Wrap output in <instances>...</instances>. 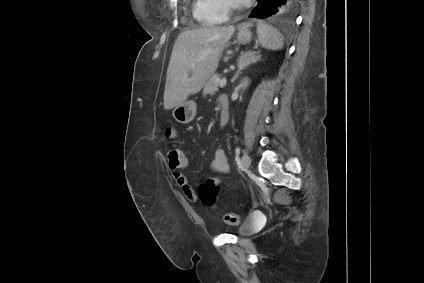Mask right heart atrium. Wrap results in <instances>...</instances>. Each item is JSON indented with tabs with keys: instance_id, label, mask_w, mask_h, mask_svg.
I'll use <instances>...</instances> for the list:
<instances>
[{
	"instance_id": "obj_1",
	"label": "right heart atrium",
	"mask_w": 424,
	"mask_h": 283,
	"mask_svg": "<svg viewBox=\"0 0 424 283\" xmlns=\"http://www.w3.org/2000/svg\"><path fill=\"white\" fill-rule=\"evenodd\" d=\"M218 2V6L220 8V10L227 14L229 12V10L231 9L232 6V2L231 0H216Z\"/></svg>"
}]
</instances>
